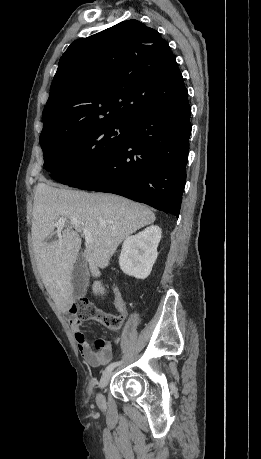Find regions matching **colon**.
Segmentation results:
<instances>
[{
    "label": "colon",
    "mask_w": 261,
    "mask_h": 459,
    "mask_svg": "<svg viewBox=\"0 0 261 459\" xmlns=\"http://www.w3.org/2000/svg\"><path fill=\"white\" fill-rule=\"evenodd\" d=\"M69 314L77 315L81 319H93L111 330H118L122 326L123 316H118L107 312L94 304L88 299H79L69 308Z\"/></svg>",
    "instance_id": "1"
}]
</instances>
